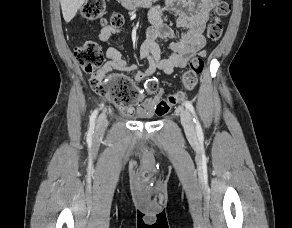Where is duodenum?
<instances>
[{
    "label": "duodenum",
    "mask_w": 292,
    "mask_h": 228,
    "mask_svg": "<svg viewBox=\"0 0 292 228\" xmlns=\"http://www.w3.org/2000/svg\"><path fill=\"white\" fill-rule=\"evenodd\" d=\"M121 3L128 9H135L147 7L152 4L154 0H120Z\"/></svg>",
    "instance_id": "410a0bca"
}]
</instances>
